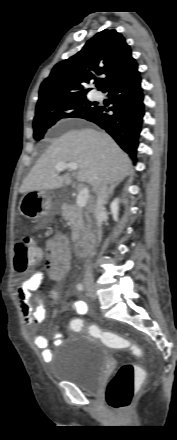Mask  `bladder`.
Here are the masks:
<instances>
[{
    "label": "bladder",
    "mask_w": 177,
    "mask_h": 440,
    "mask_svg": "<svg viewBox=\"0 0 177 440\" xmlns=\"http://www.w3.org/2000/svg\"><path fill=\"white\" fill-rule=\"evenodd\" d=\"M79 344H65L53 361L51 374L58 381L69 382L89 393L98 391L107 360V350L94 338L78 339Z\"/></svg>",
    "instance_id": "1"
}]
</instances>
